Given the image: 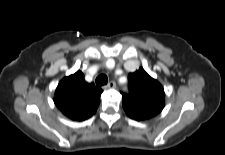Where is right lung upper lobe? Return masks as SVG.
<instances>
[{
  "mask_svg": "<svg viewBox=\"0 0 225 155\" xmlns=\"http://www.w3.org/2000/svg\"><path fill=\"white\" fill-rule=\"evenodd\" d=\"M102 89L87 83L81 71L63 78L55 91L54 103L68 118L83 121L90 118L100 103Z\"/></svg>",
  "mask_w": 225,
  "mask_h": 155,
  "instance_id": "obj_1",
  "label": "right lung upper lobe"
}]
</instances>
